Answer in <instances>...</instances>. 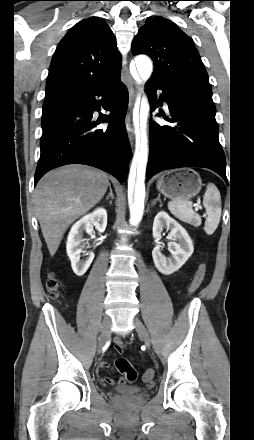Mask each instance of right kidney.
<instances>
[{"label": "right kidney", "instance_id": "right-kidney-1", "mask_svg": "<svg viewBox=\"0 0 254 440\" xmlns=\"http://www.w3.org/2000/svg\"><path fill=\"white\" fill-rule=\"evenodd\" d=\"M93 226L102 233L107 226V211L104 208H98L90 214L85 215L78 220L71 228L67 243L66 250L68 257L71 261V266L74 273L78 276H82L94 259V253L88 254L86 260H80V253L82 252L83 231L91 233Z\"/></svg>", "mask_w": 254, "mask_h": 440}]
</instances>
